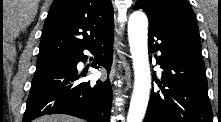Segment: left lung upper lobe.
Wrapping results in <instances>:
<instances>
[{
  "mask_svg": "<svg viewBox=\"0 0 221 122\" xmlns=\"http://www.w3.org/2000/svg\"><path fill=\"white\" fill-rule=\"evenodd\" d=\"M140 8L163 27L199 37L192 8L186 0H137L134 9Z\"/></svg>",
  "mask_w": 221,
  "mask_h": 122,
  "instance_id": "1",
  "label": "left lung upper lobe"
}]
</instances>
